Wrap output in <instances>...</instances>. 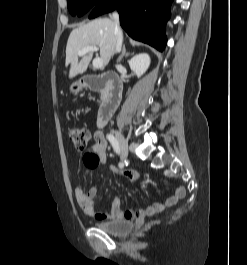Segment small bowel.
I'll return each instance as SVG.
<instances>
[{
  "mask_svg": "<svg viewBox=\"0 0 247 265\" xmlns=\"http://www.w3.org/2000/svg\"><path fill=\"white\" fill-rule=\"evenodd\" d=\"M94 143L91 150L83 155L82 163L86 168L94 169L106 164V149L107 142L101 132L94 133ZM110 170H114V167L109 166ZM124 174L131 180L140 184L139 174L135 171H125ZM98 188L92 187L88 191H84L81 187H76L74 190V196L84 211L90 217L97 220H137L141 221L147 216H152L158 212H161L165 207L175 204L179 199L185 196V188L178 186L174 193L164 202H155L145 209H127L121 210V201L119 198H114L110 211L104 212L97 209L94 205L95 197L97 196Z\"/></svg>",
  "mask_w": 247,
  "mask_h": 265,
  "instance_id": "c3829d8e",
  "label": "small bowel"
}]
</instances>
